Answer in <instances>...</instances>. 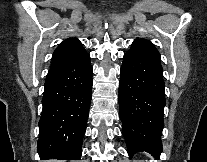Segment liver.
<instances>
[{
  "mask_svg": "<svg viewBox=\"0 0 207 162\" xmlns=\"http://www.w3.org/2000/svg\"><path fill=\"white\" fill-rule=\"evenodd\" d=\"M46 162H62V161L51 160V161H46Z\"/></svg>",
  "mask_w": 207,
  "mask_h": 162,
  "instance_id": "obj_1",
  "label": "liver"
}]
</instances>
